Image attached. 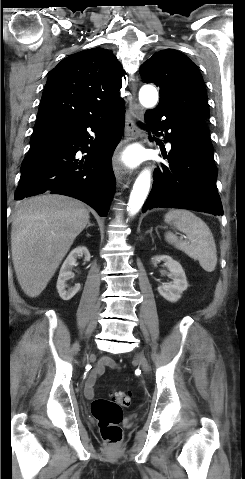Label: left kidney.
Returning a JSON list of instances; mask_svg holds the SVG:
<instances>
[{
	"instance_id": "5707ae66",
	"label": "left kidney",
	"mask_w": 245,
	"mask_h": 479,
	"mask_svg": "<svg viewBox=\"0 0 245 479\" xmlns=\"http://www.w3.org/2000/svg\"><path fill=\"white\" fill-rule=\"evenodd\" d=\"M160 261H163L164 265L170 271L169 276L173 281L159 286L158 292L166 300L176 302L181 298V294L188 287L185 272L181 264L168 255L155 256L152 258L154 265Z\"/></svg>"
}]
</instances>
